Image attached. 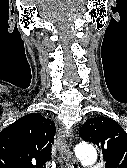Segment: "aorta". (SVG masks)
<instances>
[{"label":"aorta","mask_w":127,"mask_h":168,"mask_svg":"<svg viewBox=\"0 0 127 168\" xmlns=\"http://www.w3.org/2000/svg\"><path fill=\"white\" fill-rule=\"evenodd\" d=\"M75 154L84 166H91L97 160L96 149L88 143H80L75 148Z\"/></svg>","instance_id":"aorta-1"}]
</instances>
